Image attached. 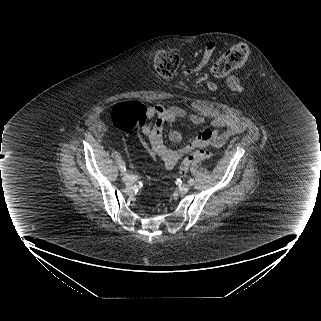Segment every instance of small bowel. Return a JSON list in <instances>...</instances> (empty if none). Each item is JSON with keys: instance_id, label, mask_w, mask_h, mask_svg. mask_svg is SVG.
Masks as SVG:
<instances>
[{"instance_id": "small-bowel-1", "label": "small bowel", "mask_w": 321, "mask_h": 321, "mask_svg": "<svg viewBox=\"0 0 321 321\" xmlns=\"http://www.w3.org/2000/svg\"><path fill=\"white\" fill-rule=\"evenodd\" d=\"M216 50V42L209 41L205 46L201 59L193 71L203 69L212 59ZM226 83L232 88L234 94H247L249 87L244 82H239L235 77L228 76ZM206 89L209 94L216 92V84L208 82ZM148 123L142 127V133L148 138V151L152 158L162 162L165 168L172 169L177 162L187 153L191 152L198 146V137L205 130L211 132L210 145L222 146L233 135L241 133L245 130V123L234 116L221 114L216 116L211 122V129H205L192 142L177 148L170 149L164 144L163 129L165 124L173 123L178 119L188 118L190 122L199 126L204 122V116L197 113H189L184 108L179 106H164L162 104H154L147 109ZM169 139L172 142H180L182 133L179 130L173 129L169 131Z\"/></svg>"}]
</instances>
